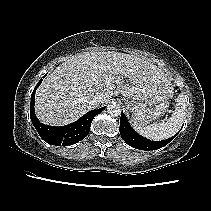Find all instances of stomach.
Segmentation results:
<instances>
[{
  "mask_svg": "<svg viewBox=\"0 0 211 211\" xmlns=\"http://www.w3.org/2000/svg\"><path fill=\"white\" fill-rule=\"evenodd\" d=\"M173 96L172 87H162L157 92L149 94L145 98H129L125 106L132 113V121L135 125L145 126L162 117L167 111Z\"/></svg>",
  "mask_w": 211,
  "mask_h": 211,
  "instance_id": "1",
  "label": "stomach"
}]
</instances>
